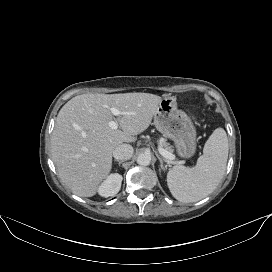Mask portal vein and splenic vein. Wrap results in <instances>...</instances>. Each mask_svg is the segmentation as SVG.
Wrapping results in <instances>:
<instances>
[{"label":"portal vein and splenic vein","instance_id":"1","mask_svg":"<svg viewBox=\"0 0 272 272\" xmlns=\"http://www.w3.org/2000/svg\"><path fill=\"white\" fill-rule=\"evenodd\" d=\"M111 112L114 116H119L120 115V111L116 108H111ZM109 127L112 128V129H117L118 128V123L116 121H110L108 123ZM158 151L159 153L166 159H169V160H174L175 156L166 151L165 149H163L162 147H158Z\"/></svg>","mask_w":272,"mask_h":272}]
</instances>
